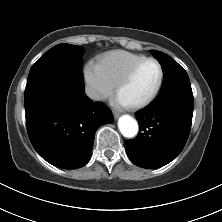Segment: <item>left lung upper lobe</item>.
Masks as SVG:
<instances>
[{
	"label": "left lung upper lobe",
	"mask_w": 222,
	"mask_h": 222,
	"mask_svg": "<svg viewBox=\"0 0 222 222\" xmlns=\"http://www.w3.org/2000/svg\"><path fill=\"white\" fill-rule=\"evenodd\" d=\"M152 52L163 69L164 79L160 93L172 89H191L186 71L174 59L157 50H152Z\"/></svg>",
	"instance_id": "obj_1"
}]
</instances>
